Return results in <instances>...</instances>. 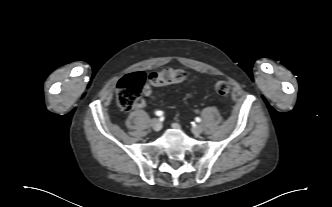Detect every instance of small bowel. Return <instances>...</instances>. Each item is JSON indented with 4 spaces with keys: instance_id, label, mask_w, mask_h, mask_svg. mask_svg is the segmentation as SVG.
Wrapping results in <instances>:
<instances>
[{
    "instance_id": "small-bowel-1",
    "label": "small bowel",
    "mask_w": 332,
    "mask_h": 207,
    "mask_svg": "<svg viewBox=\"0 0 332 207\" xmlns=\"http://www.w3.org/2000/svg\"><path fill=\"white\" fill-rule=\"evenodd\" d=\"M151 93H152L151 88H150V87H147L146 90H145V96L148 97V96L151 95ZM145 104H146L145 100H141V101L135 106V109H136V110L142 109V108L145 107Z\"/></svg>"
}]
</instances>
